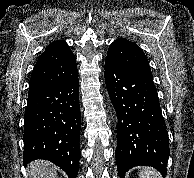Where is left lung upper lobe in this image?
I'll use <instances>...</instances> for the list:
<instances>
[{
    "label": "left lung upper lobe",
    "instance_id": "obj_1",
    "mask_svg": "<svg viewBox=\"0 0 194 178\" xmlns=\"http://www.w3.org/2000/svg\"><path fill=\"white\" fill-rule=\"evenodd\" d=\"M106 59L132 72L153 79L143 50L136 43L127 39L120 38L115 40L108 49Z\"/></svg>",
    "mask_w": 194,
    "mask_h": 178
}]
</instances>
